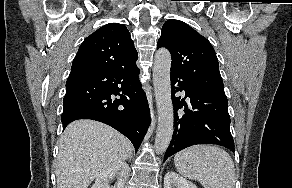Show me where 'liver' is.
Instances as JSON below:
<instances>
[{
  "label": "liver",
  "instance_id": "6515ba94",
  "mask_svg": "<svg viewBox=\"0 0 292 188\" xmlns=\"http://www.w3.org/2000/svg\"><path fill=\"white\" fill-rule=\"evenodd\" d=\"M131 153L130 141L115 129L88 119L74 121L60 139L57 188H88L101 173L124 162Z\"/></svg>",
  "mask_w": 292,
  "mask_h": 188
}]
</instances>
